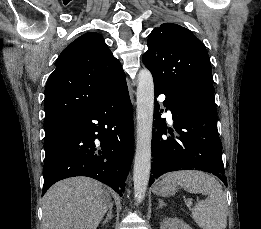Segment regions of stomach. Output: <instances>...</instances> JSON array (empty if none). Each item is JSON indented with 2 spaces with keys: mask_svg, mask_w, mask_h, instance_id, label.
<instances>
[{
  "mask_svg": "<svg viewBox=\"0 0 261 229\" xmlns=\"http://www.w3.org/2000/svg\"><path fill=\"white\" fill-rule=\"evenodd\" d=\"M177 191V185L176 183H172V181H159L157 185L154 187V193L155 195H160V197H172V195H175Z\"/></svg>",
  "mask_w": 261,
  "mask_h": 229,
  "instance_id": "obj_1",
  "label": "stomach"
}]
</instances>
